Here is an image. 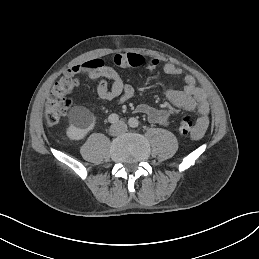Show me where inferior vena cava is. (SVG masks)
Here are the masks:
<instances>
[{"mask_svg":"<svg viewBox=\"0 0 259 259\" xmlns=\"http://www.w3.org/2000/svg\"><path fill=\"white\" fill-rule=\"evenodd\" d=\"M113 127H116V129H120V132H126L127 131V125L124 122H119L117 125H113Z\"/></svg>","mask_w":259,"mask_h":259,"instance_id":"obj_1","label":"inferior vena cava"}]
</instances>
